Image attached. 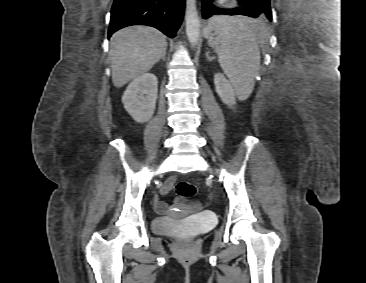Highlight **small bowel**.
<instances>
[{
    "label": "small bowel",
    "mask_w": 366,
    "mask_h": 283,
    "mask_svg": "<svg viewBox=\"0 0 366 283\" xmlns=\"http://www.w3.org/2000/svg\"><path fill=\"white\" fill-rule=\"evenodd\" d=\"M174 183H175V178H170L165 184H164V186H163V188H162V192H163V194H166V193H168L172 188H173V186H174ZM155 205H156V208L159 210V211H164V210H166V208H167V205L164 203V202H162V201H160V200H156L155 201Z\"/></svg>",
    "instance_id": "c3829d8e"
}]
</instances>
